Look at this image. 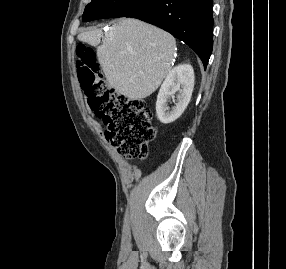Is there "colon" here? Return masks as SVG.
Instances as JSON below:
<instances>
[{"label":"colon","mask_w":286,"mask_h":269,"mask_svg":"<svg viewBox=\"0 0 286 269\" xmlns=\"http://www.w3.org/2000/svg\"><path fill=\"white\" fill-rule=\"evenodd\" d=\"M76 65L89 104L107 127V139L121 155L144 159L156 134L146 101L129 99L110 90L100 77L94 52L83 45L77 47Z\"/></svg>","instance_id":"1"}]
</instances>
